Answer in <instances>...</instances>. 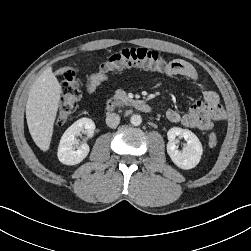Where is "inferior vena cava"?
<instances>
[{
	"label": "inferior vena cava",
	"instance_id": "602c4592",
	"mask_svg": "<svg viewBox=\"0 0 251 251\" xmlns=\"http://www.w3.org/2000/svg\"><path fill=\"white\" fill-rule=\"evenodd\" d=\"M120 122V116L116 113H109L107 114L106 117V124L111 127V128H115L118 126Z\"/></svg>",
	"mask_w": 251,
	"mask_h": 251
}]
</instances>
